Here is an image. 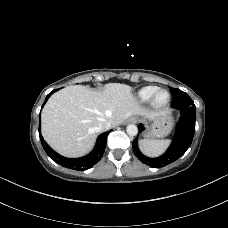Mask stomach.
Wrapping results in <instances>:
<instances>
[{"label":"stomach","instance_id":"1","mask_svg":"<svg viewBox=\"0 0 228 228\" xmlns=\"http://www.w3.org/2000/svg\"><path fill=\"white\" fill-rule=\"evenodd\" d=\"M173 129L172 116L166 113L162 116L152 119L148 130L143 134L146 138H163L170 134Z\"/></svg>","mask_w":228,"mask_h":228}]
</instances>
